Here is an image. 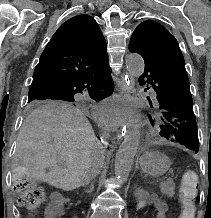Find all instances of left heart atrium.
Listing matches in <instances>:
<instances>
[{"instance_id": "1", "label": "left heart atrium", "mask_w": 211, "mask_h": 218, "mask_svg": "<svg viewBox=\"0 0 211 218\" xmlns=\"http://www.w3.org/2000/svg\"><path fill=\"white\" fill-rule=\"evenodd\" d=\"M131 118V114L118 104L102 105L97 112L98 121L106 127L117 126Z\"/></svg>"}]
</instances>
